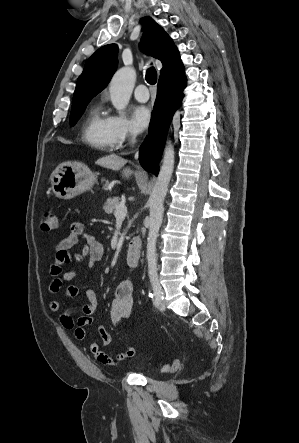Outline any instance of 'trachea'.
<instances>
[{"label":"trachea","instance_id":"trachea-1","mask_svg":"<svg viewBox=\"0 0 299 443\" xmlns=\"http://www.w3.org/2000/svg\"><path fill=\"white\" fill-rule=\"evenodd\" d=\"M145 79L151 85H154L157 82V72L154 67L147 69Z\"/></svg>","mask_w":299,"mask_h":443}]
</instances>
